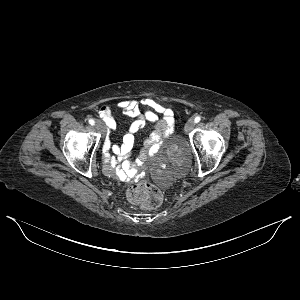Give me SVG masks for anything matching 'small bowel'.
Masks as SVG:
<instances>
[{"instance_id":"1","label":"small bowel","mask_w":300,"mask_h":300,"mask_svg":"<svg viewBox=\"0 0 300 300\" xmlns=\"http://www.w3.org/2000/svg\"><path fill=\"white\" fill-rule=\"evenodd\" d=\"M116 109L134 118V120L130 123L121 144L111 143L109 140H106L103 154L104 171L110 176L120 177L123 175L131 177L136 167L144 164L149 157L154 156L158 152L163 138L172 133L174 114L172 110L148 97L141 100H122L117 104ZM99 115L105 122L108 132L116 129V119L110 107L102 106L99 109ZM147 123H155V128L145 141L140 154L134 162H130L126 159L134 147L135 137ZM109 151L114 155H111Z\"/></svg>"}]
</instances>
